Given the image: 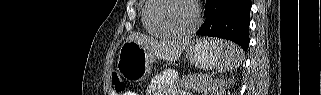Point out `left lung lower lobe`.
Listing matches in <instances>:
<instances>
[{"instance_id":"1","label":"left lung lower lobe","mask_w":321,"mask_h":95,"mask_svg":"<svg viewBox=\"0 0 321 95\" xmlns=\"http://www.w3.org/2000/svg\"><path fill=\"white\" fill-rule=\"evenodd\" d=\"M251 7L250 0H206V19L196 35L229 39L246 51Z\"/></svg>"}]
</instances>
